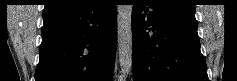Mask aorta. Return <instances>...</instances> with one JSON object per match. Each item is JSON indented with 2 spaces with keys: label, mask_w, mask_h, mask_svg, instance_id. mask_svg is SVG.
<instances>
[{
  "label": "aorta",
  "mask_w": 237,
  "mask_h": 81,
  "mask_svg": "<svg viewBox=\"0 0 237 81\" xmlns=\"http://www.w3.org/2000/svg\"><path fill=\"white\" fill-rule=\"evenodd\" d=\"M132 5L117 7V41L121 71L128 74L132 67Z\"/></svg>",
  "instance_id": "762f6f07"
}]
</instances>
